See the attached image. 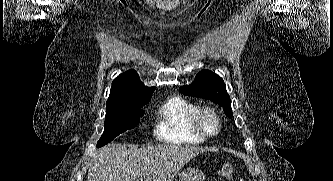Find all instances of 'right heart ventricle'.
Segmentation results:
<instances>
[{
    "mask_svg": "<svg viewBox=\"0 0 333 181\" xmlns=\"http://www.w3.org/2000/svg\"><path fill=\"white\" fill-rule=\"evenodd\" d=\"M199 106L180 97L165 100L157 109L155 136L173 144H197L205 141L194 128V117Z\"/></svg>",
    "mask_w": 333,
    "mask_h": 181,
    "instance_id": "right-heart-ventricle-1",
    "label": "right heart ventricle"
}]
</instances>
